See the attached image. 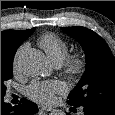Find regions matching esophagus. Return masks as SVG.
Segmentation results:
<instances>
[{"label":"esophagus","instance_id":"esophagus-1","mask_svg":"<svg viewBox=\"0 0 115 115\" xmlns=\"http://www.w3.org/2000/svg\"><path fill=\"white\" fill-rule=\"evenodd\" d=\"M39 109H40L41 111H45V112H50V111H52L51 108H49V107H44V106H39Z\"/></svg>","mask_w":115,"mask_h":115}]
</instances>
